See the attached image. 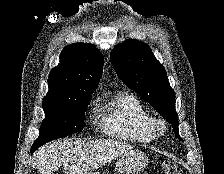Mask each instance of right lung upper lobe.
<instances>
[{
    "mask_svg": "<svg viewBox=\"0 0 224 174\" xmlns=\"http://www.w3.org/2000/svg\"><path fill=\"white\" fill-rule=\"evenodd\" d=\"M103 55L91 44L77 43L63 49L60 63L48 77L43 101H67L91 96L103 71Z\"/></svg>",
    "mask_w": 224,
    "mask_h": 174,
    "instance_id": "1",
    "label": "right lung upper lobe"
}]
</instances>
